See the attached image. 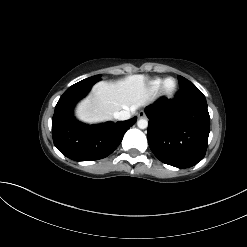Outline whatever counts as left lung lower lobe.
Here are the masks:
<instances>
[{
    "label": "left lung lower lobe",
    "instance_id": "1",
    "mask_svg": "<svg viewBox=\"0 0 247 247\" xmlns=\"http://www.w3.org/2000/svg\"><path fill=\"white\" fill-rule=\"evenodd\" d=\"M146 114L149 146L161 162L189 168L204 158L210 116L205 96L194 84L182 87L175 99L159 98Z\"/></svg>",
    "mask_w": 247,
    "mask_h": 247
}]
</instances>
